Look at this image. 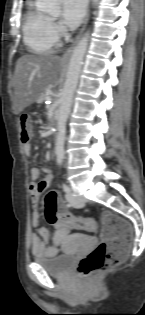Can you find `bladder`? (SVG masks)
<instances>
[{
	"mask_svg": "<svg viewBox=\"0 0 145 315\" xmlns=\"http://www.w3.org/2000/svg\"><path fill=\"white\" fill-rule=\"evenodd\" d=\"M92 249V248H75ZM76 256H65V253L56 255L50 259L36 258V262L41 264L45 270L53 276H65L73 268Z\"/></svg>",
	"mask_w": 145,
	"mask_h": 315,
	"instance_id": "31cf9c89",
	"label": "bladder"
}]
</instances>
